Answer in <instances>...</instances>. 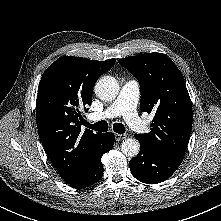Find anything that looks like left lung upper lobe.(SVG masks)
Here are the masks:
<instances>
[{
    "instance_id": "5c2ea615",
    "label": "left lung upper lobe",
    "mask_w": 221,
    "mask_h": 221,
    "mask_svg": "<svg viewBox=\"0 0 221 221\" xmlns=\"http://www.w3.org/2000/svg\"><path fill=\"white\" fill-rule=\"evenodd\" d=\"M139 81L142 112L154 113L151 131L135 134L151 150L184 158L192 129V104L184 78L170 58L145 53L120 59Z\"/></svg>"
}]
</instances>
